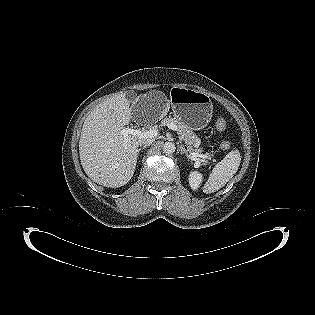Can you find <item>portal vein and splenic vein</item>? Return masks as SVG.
I'll return each mask as SVG.
<instances>
[{
    "mask_svg": "<svg viewBox=\"0 0 315 315\" xmlns=\"http://www.w3.org/2000/svg\"><path fill=\"white\" fill-rule=\"evenodd\" d=\"M167 127L173 131H178L177 126L173 123L167 124ZM120 133L124 136V138H125L124 141L126 142L128 135H134V136H137L139 138H153V137L157 136L158 130L157 129H150V130L143 131V130L133 129V128H124L123 130H121ZM190 158L192 160L196 161V160H199L200 158L205 159L206 155H201L199 153L193 152V153H190Z\"/></svg>",
    "mask_w": 315,
    "mask_h": 315,
    "instance_id": "1",
    "label": "portal vein and splenic vein"
}]
</instances>
